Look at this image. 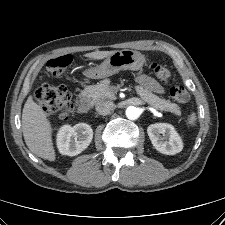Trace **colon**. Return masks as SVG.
Here are the masks:
<instances>
[{
    "instance_id": "colon-1",
    "label": "colon",
    "mask_w": 225,
    "mask_h": 225,
    "mask_svg": "<svg viewBox=\"0 0 225 225\" xmlns=\"http://www.w3.org/2000/svg\"><path fill=\"white\" fill-rule=\"evenodd\" d=\"M73 61L74 56L62 55L49 60L46 64V70L50 75L58 77ZM149 69L162 81H168L171 77L169 69L156 62L150 63ZM170 95L180 103H186L190 98L187 88L182 83L173 85L170 88ZM35 99L42 111L47 115L58 114L60 117L66 118L73 108L70 92L64 86L43 84L36 89Z\"/></svg>"
}]
</instances>
